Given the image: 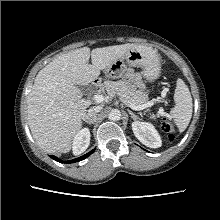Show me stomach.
Wrapping results in <instances>:
<instances>
[{
	"label": "stomach",
	"mask_w": 220,
	"mask_h": 220,
	"mask_svg": "<svg viewBox=\"0 0 220 220\" xmlns=\"http://www.w3.org/2000/svg\"><path fill=\"white\" fill-rule=\"evenodd\" d=\"M127 66L142 68V75L148 82L156 80L161 70L158 52L148 46L136 45L106 68L105 76L108 79L124 78L128 72Z\"/></svg>",
	"instance_id": "stomach-1"
}]
</instances>
